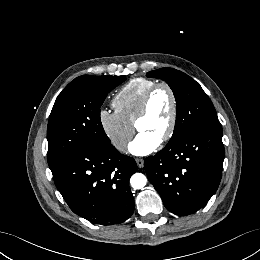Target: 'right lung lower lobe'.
<instances>
[{
  "label": "right lung lower lobe",
  "mask_w": 260,
  "mask_h": 260,
  "mask_svg": "<svg viewBox=\"0 0 260 260\" xmlns=\"http://www.w3.org/2000/svg\"><path fill=\"white\" fill-rule=\"evenodd\" d=\"M50 169L57 189L77 215L101 225L122 223L132 215L129 179L137 164L114 146L74 151Z\"/></svg>",
  "instance_id": "1"
}]
</instances>
